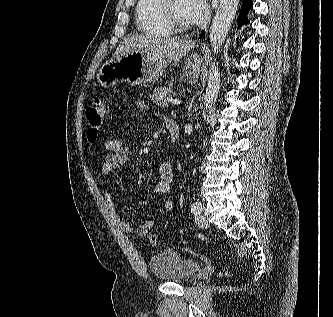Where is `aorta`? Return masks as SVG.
I'll return each instance as SVG.
<instances>
[{
  "mask_svg": "<svg viewBox=\"0 0 333 317\" xmlns=\"http://www.w3.org/2000/svg\"><path fill=\"white\" fill-rule=\"evenodd\" d=\"M240 0H220L210 28V45L214 54L220 50L235 19ZM218 62L213 61L208 72V83L204 94L205 109L215 103L220 89Z\"/></svg>",
  "mask_w": 333,
  "mask_h": 317,
  "instance_id": "aorta-1",
  "label": "aorta"
}]
</instances>
